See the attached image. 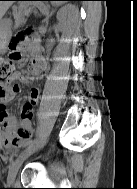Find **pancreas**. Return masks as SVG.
<instances>
[{
    "label": "pancreas",
    "mask_w": 137,
    "mask_h": 189,
    "mask_svg": "<svg viewBox=\"0 0 137 189\" xmlns=\"http://www.w3.org/2000/svg\"><path fill=\"white\" fill-rule=\"evenodd\" d=\"M13 11H14V19H15L16 25H19L20 23L24 21V16H26L28 10L26 8L13 7Z\"/></svg>",
    "instance_id": "cf45deb5"
}]
</instances>
